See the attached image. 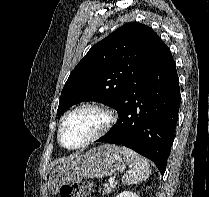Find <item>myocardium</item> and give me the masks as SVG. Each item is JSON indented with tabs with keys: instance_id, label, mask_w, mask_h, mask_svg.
I'll return each instance as SVG.
<instances>
[{
	"instance_id": "myocardium-1",
	"label": "myocardium",
	"mask_w": 209,
	"mask_h": 197,
	"mask_svg": "<svg viewBox=\"0 0 209 197\" xmlns=\"http://www.w3.org/2000/svg\"><path fill=\"white\" fill-rule=\"evenodd\" d=\"M84 108H93V109L101 111L105 116V122L99 128V130H97L93 135H91L89 138H87L84 142H82L76 146H73V147L65 146L62 142V139H61V134H62L64 124L71 115H73L77 111L84 109ZM115 122H116V112L110 105L100 102V101H97V100L85 101V102H82V103L76 105L74 108L69 110L62 117L60 125H59V129L57 132V139H58L59 144L65 149H68V150L81 149V148H84V147L90 145L91 143L99 140L104 135H106L109 132V130L112 128V126L115 124Z\"/></svg>"
}]
</instances>
